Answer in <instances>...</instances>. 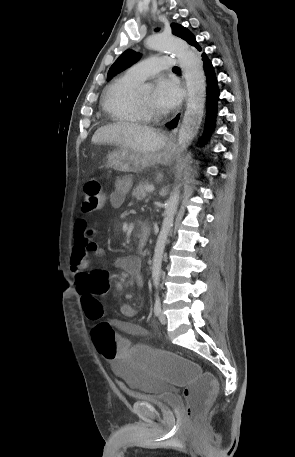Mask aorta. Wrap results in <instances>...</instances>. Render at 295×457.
I'll list each match as a JSON object with an SVG mask.
<instances>
[{
  "mask_svg": "<svg viewBox=\"0 0 295 457\" xmlns=\"http://www.w3.org/2000/svg\"><path fill=\"white\" fill-rule=\"evenodd\" d=\"M146 46L149 49L167 50L175 54L186 80L188 91L187 107L178 135L180 150L184 151L197 134L204 113L206 79L201 58L195 51L190 49L184 40L169 34L160 33L148 37ZM178 202L179 190L176 188L165 205L164 219L155 245L152 280L156 288L159 285L163 253L173 225Z\"/></svg>",
  "mask_w": 295,
  "mask_h": 457,
  "instance_id": "1",
  "label": "aorta"
}]
</instances>
